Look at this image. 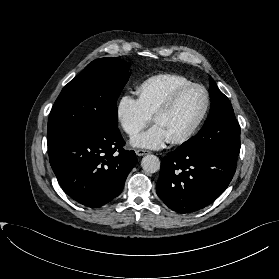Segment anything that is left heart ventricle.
<instances>
[{
    "instance_id": "left-heart-ventricle-1",
    "label": "left heart ventricle",
    "mask_w": 279,
    "mask_h": 279,
    "mask_svg": "<svg viewBox=\"0 0 279 279\" xmlns=\"http://www.w3.org/2000/svg\"><path fill=\"white\" fill-rule=\"evenodd\" d=\"M205 105V94L194 88L183 93L173 109L156 120L169 140L185 134L195 123Z\"/></svg>"
}]
</instances>
